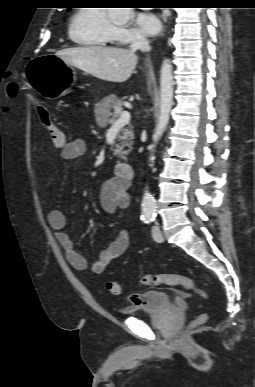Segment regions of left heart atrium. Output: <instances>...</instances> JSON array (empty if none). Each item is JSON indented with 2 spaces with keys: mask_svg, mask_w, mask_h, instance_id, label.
I'll return each instance as SVG.
<instances>
[{
  "mask_svg": "<svg viewBox=\"0 0 255 387\" xmlns=\"http://www.w3.org/2000/svg\"><path fill=\"white\" fill-rule=\"evenodd\" d=\"M135 24L140 32L145 35H156L161 29V22L153 13L143 12L137 14Z\"/></svg>",
  "mask_w": 255,
  "mask_h": 387,
  "instance_id": "obj_1",
  "label": "left heart atrium"
}]
</instances>
